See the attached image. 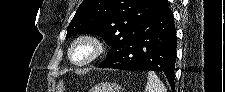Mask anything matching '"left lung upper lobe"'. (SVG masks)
Listing matches in <instances>:
<instances>
[{"label":"left lung upper lobe","instance_id":"1","mask_svg":"<svg viewBox=\"0 0 225 92\" xmlns=\"http://www.w3.org/2000/svg\"><path fill=\"white\" fill-rule=\"evenodd\" d=\"M166 3L167 0H84L69 24L66 37L87 33L101 36L111 46L108 59Z\"/></svg>","mask_w":225,"mask_h":92}]
</instances>
